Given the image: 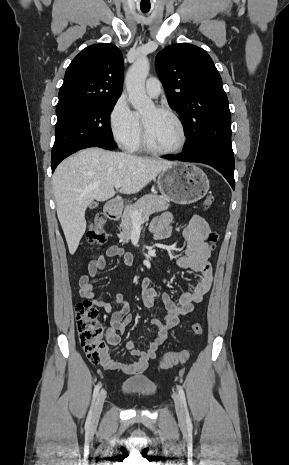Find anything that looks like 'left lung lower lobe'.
I'll return each instance as SVG.
<instances>
[{
  "label": "left lung lower lobe",
  "mask_w": 289,
  "mask_h": 465,
  "mask_svg": "<svg viewBox=\"0 0 289 465\" xmlns=\"http://www.w3.org/2000/svg\"><path fill=\"white\" fill-rule=\"evenodd\" d=\"M163 158L210 165L217 169L235 189L233 151L216 147H202L177 155H166Z\"/></svg>",
  "instance_id": "obj_1"
}]
</instances>
